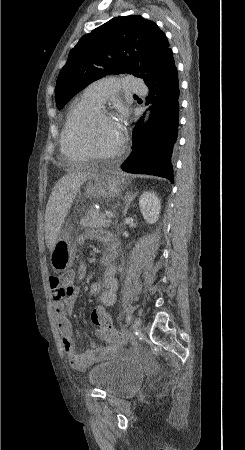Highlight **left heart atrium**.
I'll return each instance as SVG.
<instances>
[{
    "instance_id": "obj_1",
    "label": "left heart atrium",
    "mask_w": 245,
    "mask_h": 450,
    "mask_svg": "<svg viewBox=\"0 0 245 450\" xmlns=\"http://www.w3.org/2000/svg\"><path fill=\"white\" fill-rule=\"evenodd\" d=\"M124 123V118H121L119 121H115L116 130L121 138L123 137Z\"/></svg>"
}]
</instances>
